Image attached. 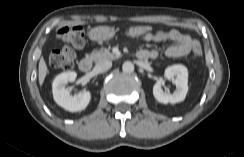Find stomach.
<instances>
[{"instance_id": "1", "label": "stomach", "mask_w": 244, "mask_h": 157, "mask_svg": "<svg viewBox=\"0 0 244 157\" xmlns=\"http://www.w3.org/2000/svg\"><path fill=\"white\" fill-rule=\"evenodd\" d=\"M115 30L108 26L94 27L89 31V38L93 41H105L113 38Z\"/></svg>"}]
</instances>
